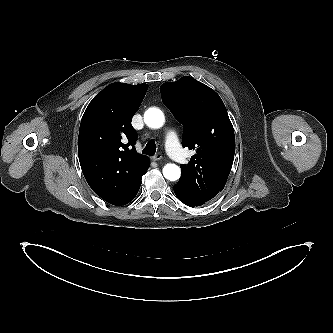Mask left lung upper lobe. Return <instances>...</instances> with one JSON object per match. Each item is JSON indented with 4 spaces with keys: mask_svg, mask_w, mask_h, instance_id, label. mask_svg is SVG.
I'll return each instance as SVG.
<instances>
[{
    "mask_svg": "<svg viewBox=\"0 0 333 333\" xmlns=\"http://www.w3.org/2000/svg\"><path fill=\"white\" fill-rule=\"evenodd\" d=\"M163 102L184 126L183 146L196 149L181 165V185L209 201L223 190L232 168L235 136L219 95L192 77L160 87Z\"/></svg>",
    "mask_w": 333,
    "mask_h": 333,
    "instance_id": "obj_1",
    "label": "left lung upper lobe"
}]
</instances>
